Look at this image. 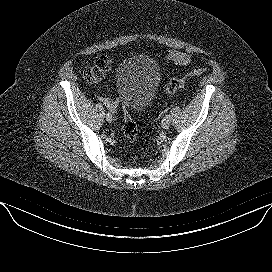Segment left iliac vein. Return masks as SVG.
<instances>
[{"instance_id":"4c4485c4","label":"left iliac vein","mask_w":272,"mask_h":272,"mask_svg":"<svg viewBox=\"0 0 272 272\" xmlns=\"http://www.w3.org/2000/svg\"><path fill=\"white\" fill-rule=\"evenodd\" d=\"M161 126L163 129H168L170 127V122L168 119L166 120H163L162 123H161Z\"/></svg>"}]
</instances>
